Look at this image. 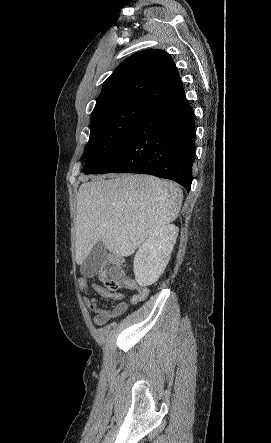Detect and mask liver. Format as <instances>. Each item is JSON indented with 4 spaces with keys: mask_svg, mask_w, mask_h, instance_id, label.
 <instances>
[{
    "mask_svg": "<svg viewBox=\"0 0 271 443\" xmlns=\"http://www.w3.org/2000/svg\"><path fill=\"white\" fill-rule=\"evenodd\" d=\"M182 202L183 192L176 184L143 174H110L81 184L76 263L81 265L98 241L115 255H132L149 235L176 220Z\"/></svg>",
    "mask_w": 271,
    "mask_h": 443,
    "instance_id": "1",
    "label": "liver"
}]
</instances>
